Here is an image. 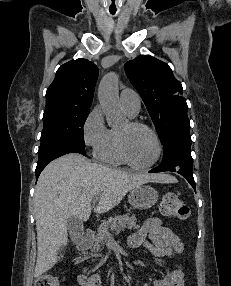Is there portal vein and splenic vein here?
<instances>
[{
	"label": "portal vein and splenic vein",
	"instance_id": "1",
	"mask_svg": "<svg viewBox=\"0 0 231 286\" xmlns=\"http://www.w3.org/2000/svg\"><path fill=\"white\" fill-rule=\"evenodd\" d=\"M98 199H99V197H98V196L94 197V199H93V203H96V202L98 201Z\"/></svg>",
	"mask_w": 231,
	"mask_h": 286
}]
</instances>
